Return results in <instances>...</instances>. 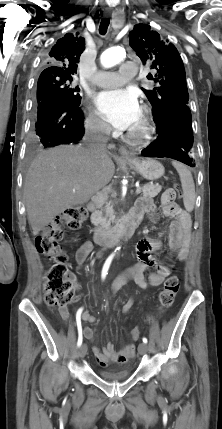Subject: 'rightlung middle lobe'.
Wrapping results in <instances>:
<instances>
[{"label":"right lung middle lobe","instance_id":"1","mask_svg":"<svg viewBox=\"0 0 222 429\" xmlns=\"http://www.w3.org/2000/svg\"><path fill=\"white\" fill-rule=\"evenodd\" d=\"M72 76H40L37 83L36 100L39 103L50 92H60L75 103H81L79 87L71 85Z\"/></svg>","mask_w":222,"mask_h":429}]
</instances>
